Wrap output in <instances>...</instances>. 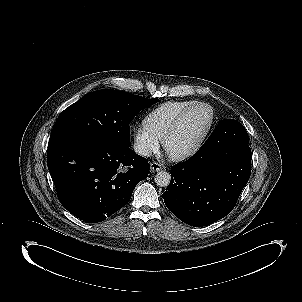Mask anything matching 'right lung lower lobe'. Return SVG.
I'll return each instance as SVG.
<instances>
[{"instance_id": "98d812e1", "label": "right lung lower lobe", "mask_w": 302, "mask_h": 302, "mask_svg": "<svg viewBox=\"0 0 302 302\" xmlns=\"http://www.w3.org/2000/svg\"><path fill=\"white\" fill-rule=\"evenodd\" d=\"M47 165L61 204L96 223L125 206L149 164L130 147L100 137H76L48 145Z\"/></svg>"}]
</instances>
